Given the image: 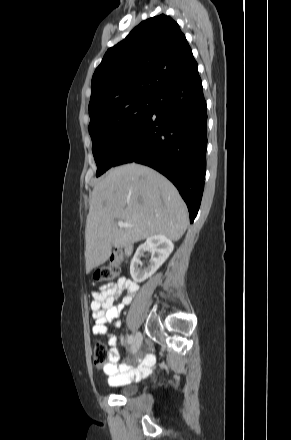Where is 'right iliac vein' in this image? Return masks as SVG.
<instances>
[{"mask_svg": "<svg viewBox=\"0 0 291 440\" xmlns=\"http://www.w3.org/2000/svg\"><path fill=\"white\" fill-rule=\"evenodd\" d=\"M142 334L140 332L136 333L134 341L132 343V352L136 353L142 344Z\"/></svg>", "mask_w": 291, "mask_h": 440, "instance_id": "obj_1", "label": "right iliac vein"}]
</instances>
